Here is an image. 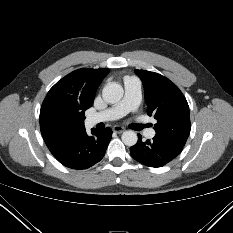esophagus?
Segmentation results:
<instances>
[{
  "mask_svg": "<svg viewBox=\"0 0 233 233\" xmlns=\"http://www.w3.org/2000/svg\"><path fill=\"white\" fill-rule=\"evenodd\" d=\"M113 131H114V132H116V133H122V132H124V131H125V128H124V127H121V126L116 125V126H114V127H113Z\"/></svg>",
  "mask_w": 233,
  "mask_h": 233,
  "instance_id": "obj_1",
  "label": "esophagus"
}]
</instances>
